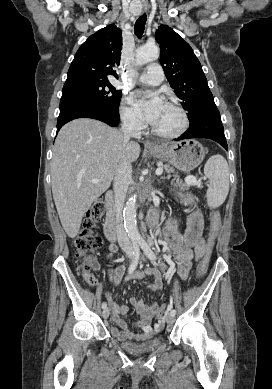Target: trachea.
<instances>
[{"mask_svg":"<svg viewBox=\"0 0 272 389\" xmlns=\"http://www.w3.org/2000/svg\"><path fill=\"white\" fill-rule=\"evenodd\" d=\"M146 19H147V15L146 13H144L143 15H141L136 23H135V26H134V31H135V35L138 37V38H141L143 33H144V29H145V24H146Z\"/></svg>","mask_w":272,"mask_h":389,"instance_id":"3493384b","label":"trachea"}]
</instances>
